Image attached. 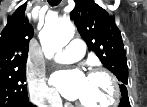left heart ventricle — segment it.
I'll use <instances>...</instances> for the list:
<instances>
[{"label":"left heart ventricle","instance_id":"obj_1","mask_svg":"<svg viewBox=\"0 0 147 107\" xmlns=\"http://www.w3.org/2000/svg\"><path fill=\"white\" fill-rule=\"evenodd\" d=\"M112 91L109 82L103 76L86 77L83 93L78 98L90 106H101L111 100Z\"/></svg>","mask_w":147,"mask_h":107}]
</instances>
